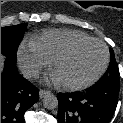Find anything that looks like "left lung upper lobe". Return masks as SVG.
<instances>
[{"label": "left lung upper lobe", "instance_id": "left-lung-upper-lobe-1", "mask_svg": "<svg viewBox=\"0 0 123 123\" xmlns=\"http://www.w3.org/2000/svg\"><path fill=\"white\" fill-rule=\"evenodd\" d=\"M110 63L106 73L99 79L98 84H110L119 86V69L114 57V51L110 49Z\"/></svg>", "mask_w": 123, "mask_h": 123}]
</instances>
